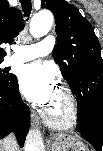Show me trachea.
I'll return each mask as SVG.
<instances>
[{
	"label": "trachea",
	"mask_w": 103,
	"mask_h": 151,
	"mask_svg": "<svg viewBox=\"0 0 103 151\" xmlns=\"http://www.w3.org/2000/svg\"><path fill=\"white\" fill-rule=\"evenodd\" d=\"M22 9L25 16H29L31 13V0H20Z\"/></svg>",
	"instance_id": "1"
}]
</instances>
